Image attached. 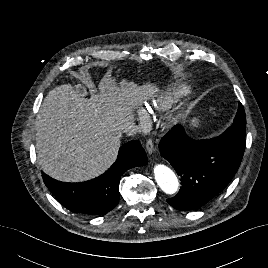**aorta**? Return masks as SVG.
<instances>
[{"label":"aorta","mask_w":268,"mask_h":268,"mask_svg":"<svg viewBox=\"0 0 268 268\" xmlns=\"http://www.w3.org/2000/svg\"><path fill=\"white\" fill-rule=\"evenodd\" d=\"M154 176L158 186L166 194H174L179 187L175 173L166 165L158 164L154 167Z\"/></svg>","instance_id":"762f6f07"}]
</instances>
